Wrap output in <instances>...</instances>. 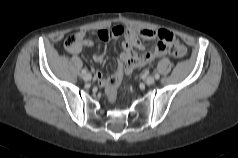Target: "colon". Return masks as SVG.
<instances>
[{
    "label": "colon",
    "mask_w": 238,
    "mask_h": 158,
    "mask_svg": "<svg viewBox=\"0 0 238 158\" xmlns=\"http://www.w3.org/2000/svg\"><path fill=\"white\" fill-rule=\"evenodd\" d=\"M98 36L102 40H109L112 37H114L113 32L111 30H101L98 32ZM78 45L79 39L76 36V34L68 36L65 40V47L68 50L75 49ZM169 53L176 59H182L186 56L187 50L182 43L178 41H173L169 46ZM119 85L120 83H118L115 79H112L110 81V90L108 92V95L110 96L111 99H114Z\"/></svg>",
    "instance_id": "obj_1"
}]
</instances>
